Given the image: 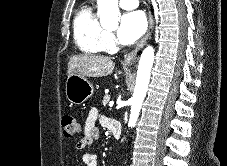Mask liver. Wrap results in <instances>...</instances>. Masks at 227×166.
Listing matches in <instances>:
<instances>
[{"label":"liver","instance_id":"liver-1","mask_svg":"<svg viewBox=\"0 0 227 166\" xmlns=\"http://www.w3.org/2000/svg\"><path fill=\"white\" fill-rule=\"evenodd\" d=\"M115 67L111 57L101 55H74L68 62V76L104 77L110 75Z\"/></svg>","mask_w":227,"mask_h":166}]
</instances>
